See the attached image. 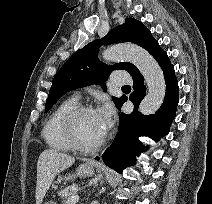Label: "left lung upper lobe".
<instances>
[{
	"mask_svg": "<svg viewBox=\"0 0 212 204\" xmlns=\"http://www.w3.org/2000/svg\"><path fill=\"white\" fill-rule=\"evenodd\" d=\"M132 42L146 49L152 56L161 50L158 42L152 37L150 31L139 21L126 18L123 25L109 32L103 39H97L76 51L61 67L53 79L49 96L46 101L45 112L66 92L79 87L102 84L106 89L105 81L112 70L123 69L131 76L139 72L131 63H117L108 66L100 62L97 53L101 45ZM122 98H113L118 107Z\"/></svg>",
	"mask_w": 212,
	"mask_h": 204,
	"instance_id": "5c2ea615",
	"label": "left lung upper lobe"
}]
</instances>
